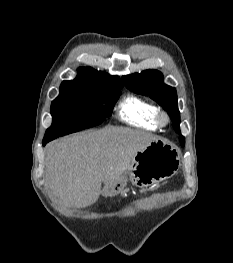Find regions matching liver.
<instances>
[{
    "label": "liver",
    "mask_w": 233,
    "mask_h": 263,
    "mask_svg": "<svg viewBox=\"0 0 233 263\" xmlns=\"http://www.w3.org/2000/svg\"><path fill=\"white\" fill-rule=\"evenodd\" d=\"M156 139L141 130L108 127L55 140L46 147L49 188L65 207L90 206L102 183L108 188L119 182L136 153Z\"/></svg>",
    "instance_id": "6515ba94"
}]
</instances>
